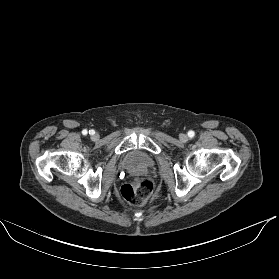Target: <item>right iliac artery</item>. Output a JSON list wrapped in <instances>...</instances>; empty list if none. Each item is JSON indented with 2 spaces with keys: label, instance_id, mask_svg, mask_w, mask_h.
<instances>
[{
  "label": "right iliac artery",
  "instance_id": "1",
  "mask_svg": "<svg viewBox=\"0 0 279 279\" xmlns=\"http://www.w3.org/2000/svg\"><path fill=\"white\" fill-rule=\"evenodd\" d=\"M87 133H88V131H87L86 129H84V130L82 131V134H83V135H86ZM89 133L93 134L94 131L91 130V131H89Z\"/></svg>",
  "mask_w": 279,
  "mask_h": 279
}]
</instances>
